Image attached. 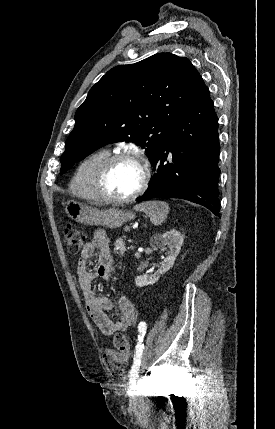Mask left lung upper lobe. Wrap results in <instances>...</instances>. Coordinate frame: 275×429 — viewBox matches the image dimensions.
Returning <instances> with one entry per match:
<instances>
[{
	"label": "left lung upper lobe",
	"mask_w": 275,
	"mask_h": 429,
	"mask_svg": "<svg viewBox=\"0 0 275 429\" xmlns=\"http://www.w3.org/2000/svg\"><path fill=\"white\" fill-rule=\"evenodd\" d=\"M199 78L189 59L171 53L109 70L76 111L60 172L120 141L137 143L152 162L188 106Z\"/></svg>",
	"instance_id": "5c2ea615"
}]
</instances>
